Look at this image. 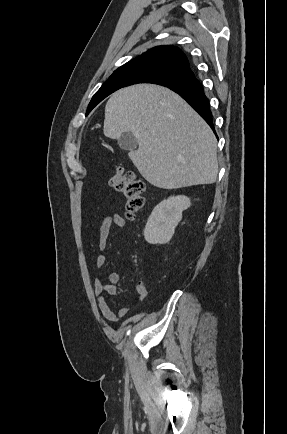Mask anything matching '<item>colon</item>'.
Returning a JSON list of instances; mask_svg holds the SVG:
<instances>
[{
	"mask_svg": "<svg viewBox=\"0 0 287 434\" xmlns=\"http://www.w3.org/2000/svg\"><path fill=\"white\" fill-rule=\"evenodd\" d=\"M109 185L123 194L127 217L135 218L144 206V183L136 179L133 172L118 169L109 178Z\"/></svg>",
	"mask_w": 287,
	"mask_h": 434,
	"instance_id": "5ec220e1",
	"label": "colon"
}]
</instances>
